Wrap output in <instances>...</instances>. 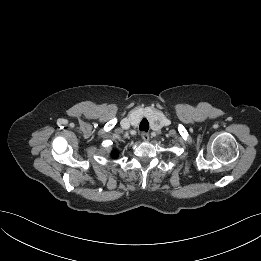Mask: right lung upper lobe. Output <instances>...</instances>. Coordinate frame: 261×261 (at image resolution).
Segmentation results:
<instances>
[{
    "label": "right lung upper lobe",
    "mask_w": 261,
    "mask_h": 261,
    "mask_svg": "<svg viewBox=\"0 0 261 261\" xmlns=\"http://www.w3.org/2000/svg\"><path fill=\"white\" fill-rule=\"evenodd\" d=\"M111 155H112V157L116 158V157H117V152H116V151H113V152L111 153Z\"/></svg>",
    "instance_id": "1"
}]
</instances>
